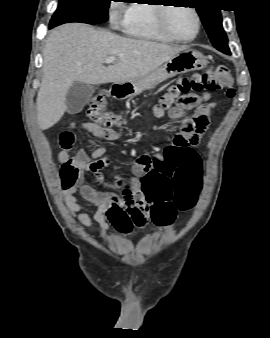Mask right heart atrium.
<instances>
[{"instance_id":"right-heart-atrium-1","label":"right heart atrium","mask_w":270,"mask_h":338,"mask_svg":"<svg viewBox=\"0 0 270 338\" xmlns=\"http://www.w3.org/2000/svg\"><path fill=\"white\" fill-rule=\"evenodd\" d=\"M127 11L124 6L113 5L110 9V21L112 25L122 26L127 20Z\"/></svg>"}]
</instances>
